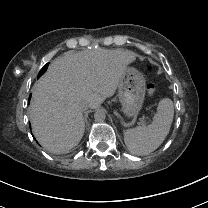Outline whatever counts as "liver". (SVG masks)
Instances as JSON below:
<instances>
[{
    "instance_id": "1",
    "label": "liver",
    "mask_w": 208,
    "mask_h": 208,
    "mask_svg": "<svg viewBox=\"0 0 208 208\" xmlns=\"http://www.w3.org/2000/svg\"><path fill=\"white\" fill-rule=\"evenodd\" d=\"M135 60L131 51L100 49L53 61L33 88L30 119L39 142L53 153L76 146L85 130L80 103L95 109L112 97Z\"/></svg>"
}]
</instances>
